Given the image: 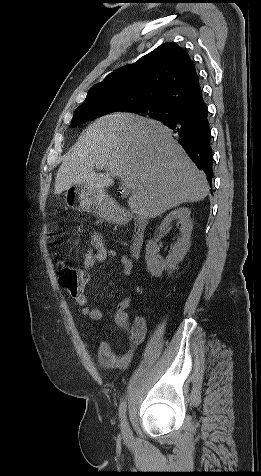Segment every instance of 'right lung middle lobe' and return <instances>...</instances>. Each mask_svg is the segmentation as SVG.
Listing matches in <instances>:
<instances>
[{"label":"right lung middle lobe","instance_id":"1","mask_svg":"<svg viewBox=\"0 0 261 476\" xmlns=\"http://www.w3.org/2000/svg\"><path fill=\"white\" fill-rule=\"evenodd\" d=\"M179 110L167 105H149L141 107L134 113L162 121L167 117L170 118L178 114ZM118 111H124L121 105L118 104L89 103L81 105L75 110L70 126L73 127L85 121Z\"/></svg>","mask_w":261,"mask_h":476}]
</instances>
